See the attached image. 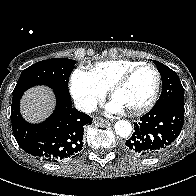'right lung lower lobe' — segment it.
<instances>
[{
	"mask_svg": "<svg viewBox=\"0 0 196 196\" xmlns=\"http://www.w3.org/2000/svg\"><path fill=\"white\" fill-rule=\"evenodd\" d=\"M57 104L44 122L31 124L23 119L19 103L23 93L13 96L11 123L14 137L26 153L46 162H61L78 155L83 147L84 128L92 118L72 107L71 97L55 91Z\"/></svg>",
	"mask_w": 196,
	"mask_h": 196,
	"instance_id": "obj_1",
	"label": "right lung lower lobe"
}]
</instances>
